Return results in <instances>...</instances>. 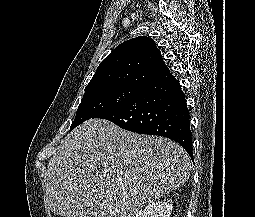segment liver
Here are the masks:
<instances>
[{
	"mask_svg": "<svg viewBox=\"0 0 255 217\" xmlns=\"http://www.w3.org/2000/svg\"><path fill=\"white\" fill-rule=\"evenodd\" d=\"M190 171L191 159L176 142L91 119L50 159L46 205L64 217H132L184 184Z\"/></svg>",
	"mask_w": 255,
	"mask_h": 217,
	"instance_id": "liver-1",
	"label": "liver"
}]
</instances>
